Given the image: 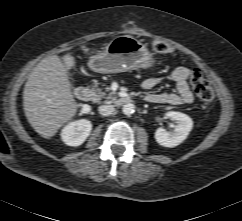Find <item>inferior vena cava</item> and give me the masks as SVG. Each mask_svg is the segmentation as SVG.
Returning a JSON list of instances; mask_svg holds the SVG:
<instances>
[{"label":"inferior vena cava","mask_w":242,"mask_h":221,"mask_svg":"<svg viewBox=\"0 0 242 221\" xmlns=\"http://www.w3.org/2000/svg\"><path fill=\"white\" fill-rule=\"evenodd\" d=\"M98 111L102 116H110L114 113L115 108L113 105L105 104L99 106Z\"/></svg>","instance_id":"1"}]
</instances>
